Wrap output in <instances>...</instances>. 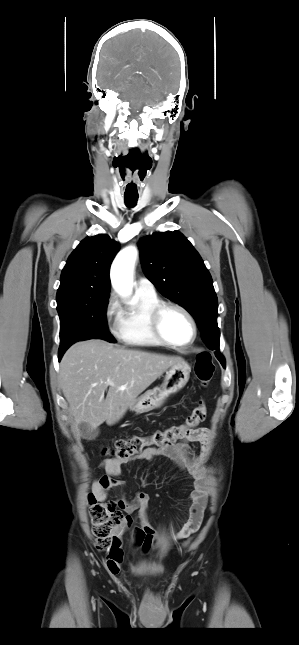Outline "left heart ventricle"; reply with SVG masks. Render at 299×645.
Listing matches in <instances>:
<instances>
[{
	"label": "left heart ventricle",
	"mask_w": 299,
	"mask_h": 645,
	"mask_svg": "<svg viewBox=\"0 0 299 645\" xmlns=\"http://www.w3.org/2000/svg\"><path fill=\"white\" fill-rule=\"evenodd\" d=\"M165 336L175 343H186L192 337V327L187 317L176 309H168L162 318Z\"/></svg>",
	"instance_id": "obj_1"
}]
</instances>
